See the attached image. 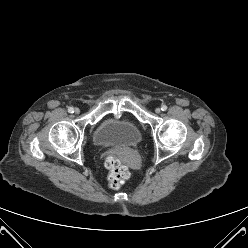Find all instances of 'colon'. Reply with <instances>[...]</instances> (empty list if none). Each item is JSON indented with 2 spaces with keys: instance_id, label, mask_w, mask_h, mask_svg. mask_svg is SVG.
I'll return each mask as SVG.
<instances>
[{
  "instance_id": "5ec220e1",
  "label": "colon",
  "mask_w": 248,
  "mask_h": 248,
  "mask_svg": "<svg viewBox=\"0 0 248 248\" xmlns=\"http://www.w3.org/2000/svg\"><path fill=\"white\" fill-rule=\"evenodd\" d=\"M106 167L109 171L108 183L111 188H119L129 177L127 167L117 156H108L106 159Z\"/></svg>"
}]
</instances>
